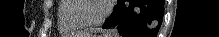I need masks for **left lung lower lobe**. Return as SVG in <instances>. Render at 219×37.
Returning a JSON list of instances; mask_svg holds the SVG:
<instances>
[{
	"mask_svg": "<svg viewBox=\"0 0 219 37\" xmlns=\"http://www.w3.org/2000/svg\"><path fill=\"white\" fill-rule=\"evenodd\" d=\"M164 14V0H118L102 28L117 27L123 37H156Z\"/></svg>",
	"mask_w": 219,
	"mask_h": 37,
	"instance_id": "left-lung-lower-lobe-1",
	"label": "left lung lower lobe"
}]
</instances>
